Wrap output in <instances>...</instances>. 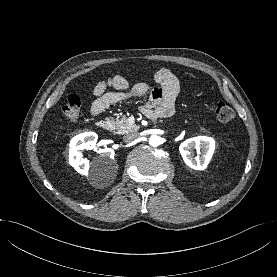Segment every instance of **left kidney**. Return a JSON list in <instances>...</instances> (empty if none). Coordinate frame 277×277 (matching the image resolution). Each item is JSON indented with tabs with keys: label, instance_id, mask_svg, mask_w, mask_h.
<instances>
[{
	"label": "left kidney",
	"instance_id": "1",
	"mask_svg": "<svg viewBox=\"0 0 277 277\" xmlns=\"http://www.w3.org/2000/svg\"><path fill=\"white\" fill-rule=\"evenodd\" d=\"M194 149L197 151V156H194ZM214 149V140L205 136L187 139L179 146L184 162L195 170H204L207 167Z\"/></svg>",
	"mask_w": 277,
	"mask_h": 277
}]
</instances>
